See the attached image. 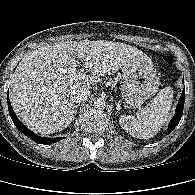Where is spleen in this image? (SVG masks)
Returning <instances> with one entry per match:
<instances>
[{
    "label": "spleen",
    "mask_w": 195,
    "mask_h": 195,
    "mask_svg": "<svg viewBox=\"0 0 195 195\" xmlns=\"http://www.w3.org/2000/svg\"><path fill=\"white\" fill-rule=\"evenodd\" d=\"M173 102V88H163L157 96L140 112L122 115L119 123L131 136L149 139L156 135L169 117Z\"/></svg>",
    "instance_id": "obj_1"
}]
</instances>
